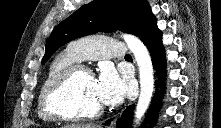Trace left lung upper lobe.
Listing matches in <instances>:
<instances>
[{
  "instance_id": "left-lung-upper-lobe-1",
  "label": "left lung upper lobe",
  "mask_w": 221,
  "mask_h": 128,
  "mask_svg": "<svg viewBox=\"0 0 221 128\" xmlns=\"http://www.w3.org/2000/svg\"><path fill=\"white\" fill-rule=\"evenodd\" d=\"M155 24L156 17L145 0H93L55 27L47 40L42 64L59 47L76 38L119 29L144 41Z\"/></svg>"
}]
</instances>
